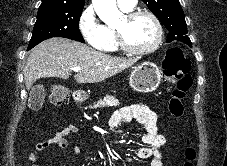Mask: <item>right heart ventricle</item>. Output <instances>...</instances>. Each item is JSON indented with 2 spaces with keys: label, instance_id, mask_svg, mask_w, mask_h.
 I'll list each match as a JSON object with an SVG mask.
<instances>
[{
  "label": "right heart ventricle",
  "instance_id": "obj_1",
  "mask_svg": "<svg viewBox=\"0 0 227 166\" xmlns=\"http://www.w3.org/2000/svg\"><path fill=\"white\" fill-rule=\"evenodd\" d=\"M121 10L124 12L130 11V10H124L122 8H121ZM105 27H106V31L108 34V51H112L117 48L115 31H114V28H112V27H109V26H105Z\"/></svg>",
  "mask_w": 227,
  "mask_h": 166
}]
</instances>
